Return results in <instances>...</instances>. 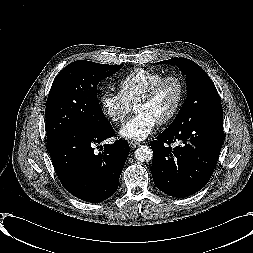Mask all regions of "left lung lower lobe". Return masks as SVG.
<instances>
[{
	"label": "left lung lower lobe",
	"mask_w": 253,
	"mask_h": 253,
	"mask_svg": "<svg viewBox=\"0 0 253 253\" xmlns=\"http://www.w3.org/2000/svg\"><path fill=\"white\" fill-rule=\"evenodd\" d=\"M175 141L181 145L172 148L170 143ZM222 144L223 113L167 128L151 142L154 184L177 198L198 192L210 180Z\"/></svg>",
	"instance_id": "0a47b994"
}]
</instances>
